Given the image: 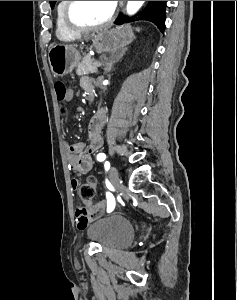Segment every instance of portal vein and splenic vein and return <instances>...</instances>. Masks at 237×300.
Masks as SVG:
<instances>
[{
  "instance_id": "portal-vein-and-splenic-vein-1",
  "label": "portal vein and splenic vein",
  "mask_w": 237,
  "mask_h": 300,
  "mask_svg": "<svg viewBox=\"0 0 237 300\" xmlns=\"http://www.w3.org/2000/svg\"><path fill=\"white\" fill-rule=\"evenodd\" d=\"M93 65H94V67H96V68H100L101 62H98L97 60H95V61L93 62Z\"/></svg>"
}]
</instances>
